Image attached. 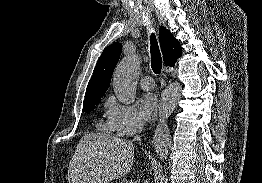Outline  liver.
<instances>
[{
	"label": "liver",
	"mask_w": 262,
	"mask_h": 183,
	"mask_svg": "<svg viewBox=\"0 0 262 183\" xmlns=\"http://www.w3.org/2000/svg\"><path fill=\"white\" fill-rule=\"evenodd\" d=\"M132 141L106 133L84 135L68 167L69 183H109L125 176L133 165Z\"/></svg>",
	"instance_id": "obj_1"
}]
</instances>
